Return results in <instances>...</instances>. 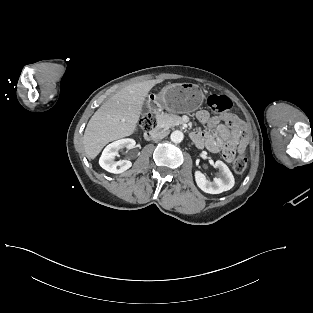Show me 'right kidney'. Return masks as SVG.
Listing matches in <instances>:
<instances>
[{
	"label": "right kidney",
	"mask_w": 313,
	"mask_h": 313,
	"mask_svg": "<svg viewBox=\"0 0 313 313\" xmlns=\"http://www.w3.org/2000/svg\"><path fill=\"white\" fill-rule=\"evenodd\" d=\"M136 142L134 139L125 138L117 140L105 147L99 159V165L106 171L114 174L122 173L132 166L129 160L116 161L118 152L124 148L132 149Z\"/></svg>",
	"instance_id": "right-kidney-1"
}]
</instances>
